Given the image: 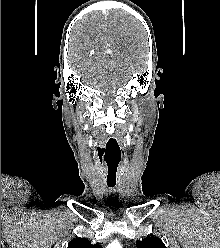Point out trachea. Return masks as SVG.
<instances>
[{
  "instance_id": "3493384b",
  "label": "trachea",
  "mask_w": 220,
  "mask_h": 248,
  "mask_svg": "<svg viewBox=\"0 0 220 248\" xmlns=\"http://www.w3.org/2000/svg\"><path fill=\"white\" fill-rule=\"evenodd\" d=\"M109 187H114L115 186V184H107Z\"/></svg>"
}]
</instances>
